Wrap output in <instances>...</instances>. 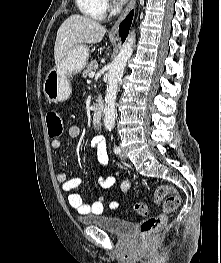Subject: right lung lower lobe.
Wrapping results in <instances>:
<instances>
[{
	"mask_svg": "<svg viewBox=\"0 0 221 263\" xmlns=\"http://www.w3.org/2000/svg\"><path fill=\"white\" fill-rule=\"evenodd\" d=\"M133 18V10L129 13V15L122 21L119 26V35L121 37L122 42L125 41Z\"/></svg>",
	"mask_w": 221,
	"mask_h": 263,
	"instance_id": "right-lung-lower-lobe-1",
	"label": "right lung lower lobe"
}]
</instances>
